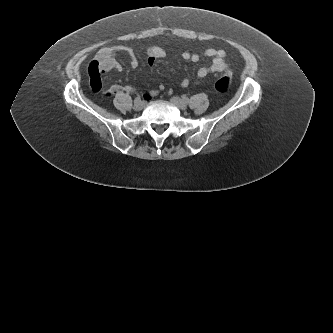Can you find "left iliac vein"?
Returning a JSON list of instances; mask_svg holds the SVG:
<instances>
[{"mask_svg":"<svg viewBox=\"0 0 333 333\" xmlns=\"http://www.w3.org/2000/svg\"><path fill=\"white\" fill-rule=\"evenodd\" d=\"M170 102H171V104H173L174 106H176L180 110H186V108H187L186 103L182 99H180L179 97H176V96L172 97L170 99Z\"/></svg>","mask_w":333,"mask_h":333,"instance_id":"obj_1","label":"left iliac vein"}]
</instances>
